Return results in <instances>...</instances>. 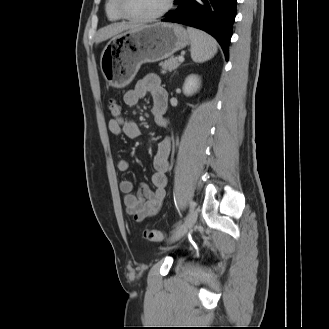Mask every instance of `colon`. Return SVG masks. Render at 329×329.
Returning a JSON list of instances; mask_svg holds the SVG:
<instances>
[{"label": "colon", "instance_id": "5ec220e1", "mask_svg": "<svg viewBox=\"0 0 329 329\" xmlns=\"http://www.w3.org/2000/svg\"><path fill=\"white\" fill-rule=\"evenodd\" d=\"M109 109L113 117L117 118L121 115V105L118 101L111 99L109 101ZM143 237L148 241L162 242L166 239V233L157 229H146Z\"/></svg>", "mask_w": 329, "mask_h": 329}]
</instances>
